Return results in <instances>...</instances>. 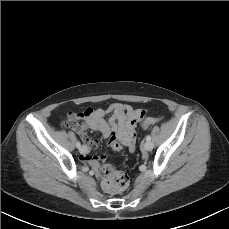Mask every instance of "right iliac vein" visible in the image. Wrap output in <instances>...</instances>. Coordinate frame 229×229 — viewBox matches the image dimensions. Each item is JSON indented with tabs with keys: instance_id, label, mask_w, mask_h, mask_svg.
Here are the masks:
<instances>
[{
	"instance_id": "1",
	"label": "right iliac vein",
	"mask_w": 229,
	"mask_h": 229,
	"mask_svg": "<svg viewBox=\"0 0 229 229\" xmlns=\"http://www.w3.org/2000/svg\"><path fill=\"white\" fill-rule=\"evenodd\" d=\"M84 149H85L84 146L80 147L79 148L80 153H83Z\"/></svg>"
}]
</instances>
